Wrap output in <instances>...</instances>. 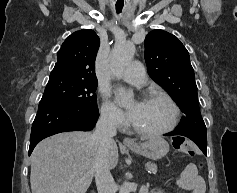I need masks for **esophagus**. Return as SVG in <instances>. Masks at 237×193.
<instances>
[{"label": "esophagus", "instance_id": "1", "mask_svg": "<svg viewBox=\"0 0 237 193\" xmlns=\"http://www.w3.org/2000/svg\"><path fill=\"white\" fill-rule=\"evenodd\" d=\"M123 143H124L125 145H133V144H134V141L131 140L130 138H124Z\"/></svg>", "mask_w": 237, "mask_h": 193}]
</instances>
